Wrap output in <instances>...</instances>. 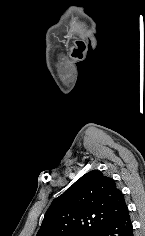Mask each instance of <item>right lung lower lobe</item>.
I'll return each mask as SVG.
<instances>
[{"instance_id": "right-lung-lower-lobe-1", "label": "right lung lower lobe", "mask_w": 145, "mask_h": 236, "mask_svg": "<svg viewBox=\"0 0 145 236\" xmlns=\"http://www.w3.org/2000/svg\"><path fill=\"white\" fill-rule=\"evenodd\" d=\"M94 236H133V227L128 208L122 211Z\"/></svg>"}]
</instances>
